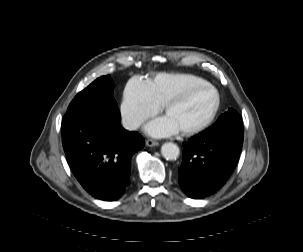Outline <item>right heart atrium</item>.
<instances>
[{
    "label": "right heart atrium",
    "mask_w": 303,
    "mask_h": 252,
    "mask_svg": "<svg viewBox=\"0 0 303 252\" xmlns=\"http://www.w3.org/2000/svg\"><path fill=\"white\" fill-rule=\"evenodd\" d=\"M159 109L160 105L151 99L142 82L136 79L128 82L120 104L121 120L127 129L138 128Z\"/></svg>",
    "instance_id": "right-heart-atrium-1"
}]
</instances>
